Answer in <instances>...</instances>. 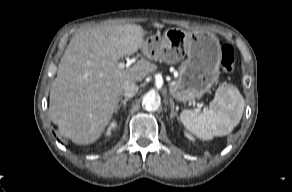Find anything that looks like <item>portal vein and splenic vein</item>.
I'll return each mask as SVG.
<instances>
[{
	"label": "portal vein and splenic vein",
	"mask_w": 292,
	"mask_h": 192,
	"mask_svg": "<svg viewBox=\"0 0 292 192\" xmlns=\"http://www.w3.org/2000/svg\"><path fill=\"white\" fill-rule=\"evenodd\" d=\"M126 67V64L124 62L118 63V68L124 69Z\"/></svg>",
	"instance_id": "obj_1"
}]
</instances>
